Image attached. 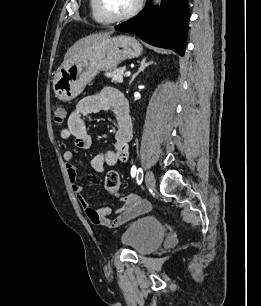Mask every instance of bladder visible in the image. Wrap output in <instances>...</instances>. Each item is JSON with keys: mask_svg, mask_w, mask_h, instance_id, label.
I'll return each mask as SVG.
<instances>
[{"mask_svg": "<svg viewBox=\"0 0 261 306\" xmlns=\"http://www.w3.org/2000/svg\"><path fill=\"white\" fill-rule=\"evenodd\" d=\"M165 228L157 219L144 216L131 222L120 237L121 243L138 255L155 251L162 243Z\"/></svg>", "mask_w": 261, "mask_h": 306, "instance_id": "31cf9c89", "label": "bladder"}]
</instances>
